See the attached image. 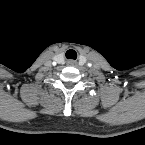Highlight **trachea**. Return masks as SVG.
Returning a JSON list of instances; mask_svg holds the SVG:
<instances>
[{"mask_svg": "<svg viewBox=\"0 0 145 145\" xmlns=\"http://www.w3.org/2000/svg\"><path fill=\"white\" fill-rule=\"evenodd\" d=\"M66 58L67 59H73L75 60L77 58V53L75 50L73 49H69L67 52H66Z\"/></svg>", "mask_w": 145, "mask_h": 145, "instance_id": "1", "label": "trachea"}]
</instances>
